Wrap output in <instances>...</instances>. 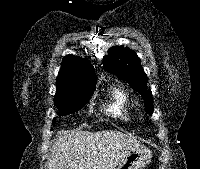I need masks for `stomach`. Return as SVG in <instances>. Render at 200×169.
Returning a JSON list of instances; mask_svg holds the SVG:
<instances>
[{
  "mask_svg": "<svg viewBox=\"0 0 200 169\" xmlns=\"http://www.w3.org/2000/svg\"><path fill=\"white\" fill-rule=\"evenodd\" d=\"M152 154L147 148L140 146L129 150L116 169H144L151 162Z\"/></svg>",
  "mask_w": 200,
  "mask_h": 169,
  "instance_id": "0dacf381",
  "label": "stomach"
}]
</instances>
